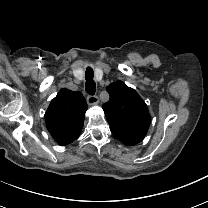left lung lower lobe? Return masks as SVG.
Masks as SVG:
<instances>
[{"label": "left lung lower lobe", "instance_id": "left-lung-lower-lobe-1", "mask_svg": "<svg viewBox=\"0 0 208 208\" xmlns=\"http://www.w3.org/2000/svg\"><path fill=\"white\" fill-rule=\"evenodd\" d=\"M110 130L118 140H120L122 143L126 145H135L141 142L146 136V133L140 134L135 132L123 131L115 128H111Z\"/></svg>", "mask_w": 208, "mask_h": 208}]
</instances>
